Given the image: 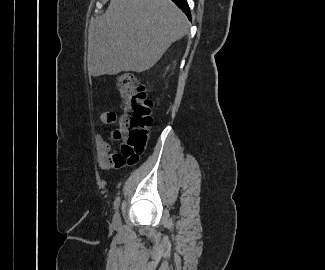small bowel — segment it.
<instances>
[{"instance_id":"obj_1","label":"small bowel","mask_w":325,"mask_h":270,"mask_svg":"<svg viewBox=\"0 0 325 270\" xmlns=\"http://www.w3.org/2000/svg\"><path fill=\"white\" fill-rule=\"evenodd\" d=\"M101 121L106 125H113L116 122V114L113 112H105L101 115ZM94 138L97 148L98 164L101 169H118L128 163L125 157L114 151L111 142L105 140L99 132L95 134Z\"/></svg>"}]
</instances>
